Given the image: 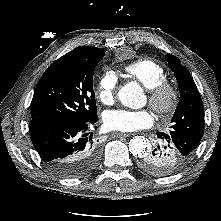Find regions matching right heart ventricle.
I'll return each instance as SVG.
<instances>
[{"mask_svg": "<svg viewBox=\"0 0 221 221\" xmlns=\"http://www.w3.org/2000/svg\"><path fill=\"white\" fill-rule=\"evenodd\" d=\"M125 72L149 89L166 79L164 67L152 59H138L125 66Z\"/></svg>", "mask_w": 221, "mask_h": 221, "instance_id": "1", "label": "right heart ventricle"}]
</instances>
